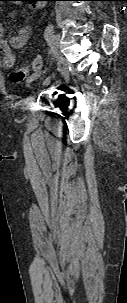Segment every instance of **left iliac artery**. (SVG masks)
I'll use <instances>...</instances> for the list:
<instances>
[{"label": "left iliac artery", "instance_id": "obj_1", "mask_svg": "<svg viewBox=\"0 0 127 303\" xmlns=\"http://www.w3.org/2000/svg\"><path fill=\"white\" fill-rule=\"evenodd\" d=\"M54 34V26L52 24L48 25L44 32V37L47 41H50Z\"/></svg>", "mask_w": 127, "mask_h": 303}]
</instances>
